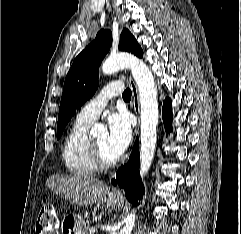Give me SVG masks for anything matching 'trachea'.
Here are the masks:
<instances>
[{"label":"trachea","mask_w":241,"mask_h":234,"mask_svg":"<svg viewBox=\"0 0 241 234\" xmlns=\"http://www.w3.org/2000/svg\"><path fill=\"white\" fill-rule=\"evenodd\" d=\"M122 96H123L124 99H131V91H130V89H126Z\"/></svg>","instance_id":"3493384b"}]
</instances>
